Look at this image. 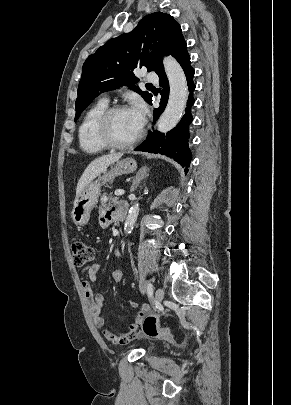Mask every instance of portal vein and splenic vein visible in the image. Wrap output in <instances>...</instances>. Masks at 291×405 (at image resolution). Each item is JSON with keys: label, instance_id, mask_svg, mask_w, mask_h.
Listing matches in <instances>:
<instances>
[{"label": "portal vein and splenic vein", "instance_id": "portal-vein-and-splenic-vein-1", "mask_svg": "<svg viewBox=\"0 0 291 405\" xmlns=\"http://www.w3.org/2000/svg\"><path fill=\"white\" fill-rule=\"evenodd\" d=\"M123 194H124V190H122V189H118V190L115 191L116 196H121Z\"/></svg>", "mask_w": 291, "mask_h": 405}]
</instances>
